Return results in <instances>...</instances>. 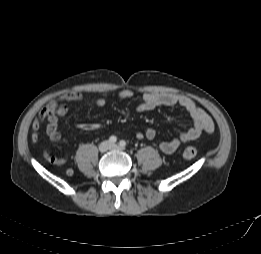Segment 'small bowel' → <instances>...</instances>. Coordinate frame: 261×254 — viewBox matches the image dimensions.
<instances>
[{
    "label": "small bowel",
    "instance_id": "small-bowel-1",
    "mask_svg": "<svg viewBox=\"0 0 261 254\" xmlns=\"http://www.w3.org/2000/svg\"><path fill=\"white\" fill-rule=\"evenodd\" d=\"M133 95V91L129 89H123L119 92V97L122 99H130ZM83 98V93L79 91H69L50 100L40 111L38 118L32 123V143L36 144L39 141L41 123L44 120L47 121L46 133L49 139L52 141H59L62 137L58 128L59 118L68 113L69 107L67 103L80 101ZM94 101L100 107L106 105V98L104 95L97 96ZM165 106L182 107L193 122V126L180 133L178 136L161 142L159 144L161 152L172 154L182 143L197 140L202 132H213L214 123L211 117L203 109L199 108L191 98L185 95L172 92H145L142 95V101L136 107V111L138 113H144ZM155 136L156 131L153 128H148L143 133L138 132L136 134L138 139L146 138L152 140ZM44 157L52 165L62 166L66 163V158L53 156L47 151H44Z\"/></svg>",
    "mask_w": 261,
    "mask_h": 254
}]
</instances>
